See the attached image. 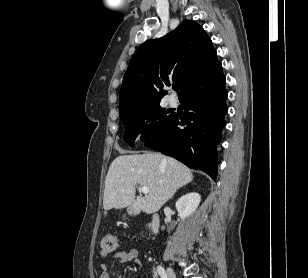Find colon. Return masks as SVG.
<instances>
[{
    "mask_svg": "<svg viewBox=\"0 0 308 278\" xmlns=\"http://www.w3.org/2000/svg\"><path fill=\"white\" fill-rule=\"evenodd\" d=\"M119 246V241L114 235L105 236L100 243L101 253L103 255H109L114 252Z\"/></svg>",
    "mask_w": 308,
    "mask_h": 278,
    "instance_id": "obj_1",
    "label": "colon"
}]
</instances>
